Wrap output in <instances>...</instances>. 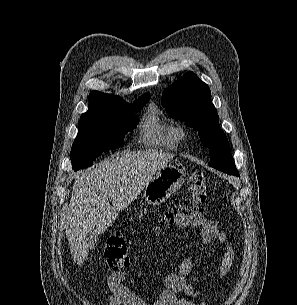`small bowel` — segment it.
<instances>
[{"mask_svg":"<svg viewBox=\"0 0 297 305\" xmlns=\"http://www.w3.org/2000/svg\"><path fill=\"white\" fill-rule=\"evenodd\" d=\"M175 225L180 228L196 227L200 230L203 243L208 245L217 242L224 246L225 252L221 260L220 277H224L230 271L234 250L229 245L226 234L219 230L213 221L205 219L199 212H193L177 215ZM192 270V261L189 258L184 259L177 272L165 277L164 290L151 301L143 299L127 287L123 272H113L107 281L110 305H191L188 301L179 299L178 294L183 293L191 297H201L204 294L203 290L196 287L194 281L188 280Z\"/></svg>","mask_w":297,"mask_h":305,"instance_id":"small-bowel-1","label":"small bowel"}]
</instances>
